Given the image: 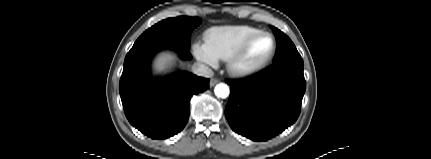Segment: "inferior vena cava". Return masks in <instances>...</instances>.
Wrapping results in <instances>:
<instances>
[{
	"label": "inferior vena cava",
	"instance_id": "602c4592",
	"mask_svg": "<svg viewBox=\"0 0 431 159\" xmlns=\"http://www.w3.org/2000/svg\"><path fill=\"white\" fill-rule=\"evenodd\" d=\"M192 72L206 78H210L214 75L212 69L202 63H194L192 65Z\"/></svg>",
	"mask_w": 431,
	"mask_h": 159
}]
</instances>
